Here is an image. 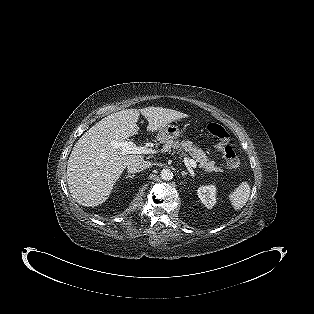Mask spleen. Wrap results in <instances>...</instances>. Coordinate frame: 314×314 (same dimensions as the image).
Instances as JSON below:
<instances>
[{
	"mask_svg": "<svg viewBox=\"0 0 314 314\" xmlns=\"http://www.w3.org/2000/svg\"><path fill=\"white\" fill-rule=\"evenodd\" d=\"M251 193L250 184L241 182L235 190L230 193L229 200L235 210H240L248 201Z\"/></svg>",
	"mask_w": 314,
	"mask_h": 314,
	"instance_id": "spleen-1",
	"label": "spleen"
}]
</instances>
